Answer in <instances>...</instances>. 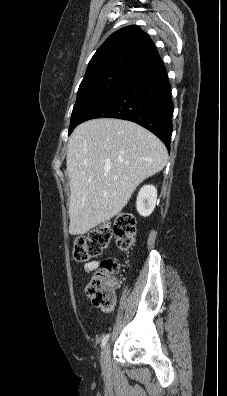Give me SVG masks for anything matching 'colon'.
I'll list each match as a JSON object with an SVG mask.
<instances>
[{
	"mask_svg": "<svg viewBox=\"0 0 227 396\" xmlns=\"http://www.w3.org/2000/svg\"><path fill=\"white\" fill-rule=\"evenodd\" d=\"M135 219L128 213L120 214L113 225L103 224L85 237L74 242L73 256L79 262L89 261L108 248L110 240L115 237L117 247L126 251L135 240ZM118 263L113 259L101 262L100 269L90 278L86 293L93 305L105 312H111L116 303L114 275L118 272Z\"/></svg>",
	"mask_w": 227,
	"mask_h": 396,
	"instance_id": "obj_1",
	"label": "colon"
}]
</instances>
